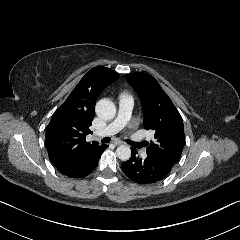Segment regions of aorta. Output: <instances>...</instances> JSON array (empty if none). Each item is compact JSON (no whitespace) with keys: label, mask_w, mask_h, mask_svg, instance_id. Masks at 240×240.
<instances>
[{"label":"aorta","mask_w":240,"mask_h":240,"mask_svg":"<svg viewBox=\"0 0 240 240\" xmlns=\"http://www.w3.org/2000/svg\"><path fill=\"white\" fill-rule=\"evenodd\" d=\"M115 104L107 99L103 98L96 103L95 112L96 115L103 120H111L116 115ZM117 156L120 160L126 161L131 157V149L126 145H120L116 150Z\"/></svg>","instance_id":"obj_1"}]
</instances>
